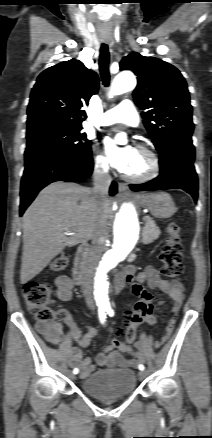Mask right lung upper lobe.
Returning a JSON list of instances; mask_svg holds the SVG:
<instances>
[{
	"label": "right lung upper lobe",
	"mask_w": 212,
	"mask_h": 438,
	"mask_svg": "<svg viewBox=\"0 0 212 438\" xmlns=\"http://www.w3.org/2000/svg\"><path fill=\"white\" fill-rule=\"evenodd\" d=\"M99 87L98 76L76 59L43 71L34 85L28 105L27 130L43 125L82 127L81 108Z\"/></svg>",
	"instance_id": "right-lung-upper-lobe-1"
}]
</instances>
